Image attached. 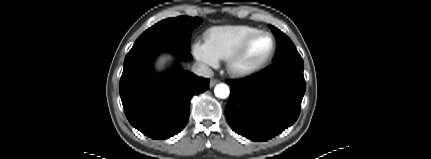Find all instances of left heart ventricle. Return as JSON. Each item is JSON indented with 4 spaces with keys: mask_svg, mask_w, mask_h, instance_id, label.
Masks as SVG:
<instances>
[{
    "mask_svg": "<svg viewBox=\"0 0 431 159\" xmlns=\"http://www.w3.org/2000/svg\"><path fill=\"white\" fill-rule=\"evenodd\" d=\"M272 48V41L266 35L256 37L248 46L245 53L240 58L238 65L248 67L263 60Z\"/></svg>",
    "mask_w": 431,
    "mask_h": 159,
    "instance_id": "obj_1",
    "label": "left heart ventricle"
}]
</instances>
